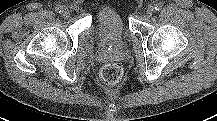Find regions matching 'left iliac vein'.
Here are the masks:
<instances>
[{
  "mask_svg": "<svg viewBox=\"0 0 217 121\" xmlns=\"http://www.w3.org/2000/svg\"><path fill=\"white\" fill-rule=\"evenodd\" d=\"M153 12H154V7H153V6H149V7L147 8V10H146V14H147V16H149V17L153 14Z\"/></svg>",
  "mask_w": 217,
  "mask_h": 121,
  "instance_id": "left-iliac-vein-1",
  "label": "left iliac vein"
}]
</instances>
